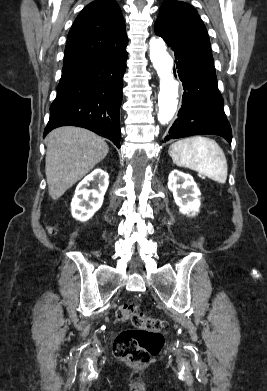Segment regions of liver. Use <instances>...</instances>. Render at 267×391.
Segmentation results:
<instances>
[{"mask_svg":"<svg viewBox=\"0 0 267 391\" xmlns=\"http://www.w3.org/2000/svg\"><path fill=\"white\" fill-rule=\"evenodd\" d=\"M46 146L45 173L49 195L54 200L88 174L109 152L103 138L72 126L51 131L46 137Z\"/></svg>","mask_w":267,"mask_h":391,"instance_id":"liver-1","label":"liver"}]
</instances>
